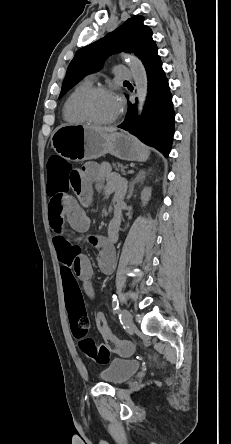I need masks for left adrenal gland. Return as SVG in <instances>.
Masks as SVG:
<instances>
[{"label":"left adrenal gland","mask_w":231,"mask_h":444,"mask_svg":"<svg viewBox=\"0 0 231 444\" xmlns=\"http://www.w3.org/2000/svg\"><path fill=\"white\" fill-rule=\"evenodd\" d=\"M145 178V171L140 170L134 180H131L129 186V194L127 195V199L129 200L133 194L134 185L138 182H141Z\"/></svg>","instance_id":"1"}]
</instances>
